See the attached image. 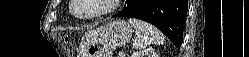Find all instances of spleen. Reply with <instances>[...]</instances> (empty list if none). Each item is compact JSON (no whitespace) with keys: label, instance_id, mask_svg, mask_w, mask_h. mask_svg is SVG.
Listing matches in <instances>:
<instances>
[{"label":"spleen","instance_id":"obj_1","mask_svg":"<svg viewBox=\"0 0 249 57\" xmlns=\"http://www.w3.org/2000/svg\"><path fill=\"white\" fill-rule=\"evenodd\" d=\"M129 23L135 29V49H143L150 44H162L165 41L163 34L150 23L136 18H129Z\"/></svg>","mask_w":249,"mask_h":57}]
</instances>
